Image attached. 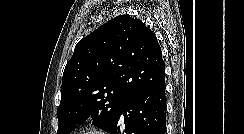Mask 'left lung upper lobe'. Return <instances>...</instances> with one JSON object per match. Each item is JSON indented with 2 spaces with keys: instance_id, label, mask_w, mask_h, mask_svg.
Wrapping results in <instances>:
<instances>
[{
  "instance_id": "obj_1",
  "label": "left lung upper lobe",
  "mask_w": 244,
  "mask_h": 134,
  "mask_svg": "<svg viewBox=\"0 0 244 134\" xmlns=\"http://www.w3.org/2000/svg\"><path fill=\"white\" fill-rule=\"evenodd\" d=\"M164 85L155 34L139 19L117 16L75 46L63 73L57 134L89 118L107 132L126 98Z\"/></svg>"
}]
</instances>
